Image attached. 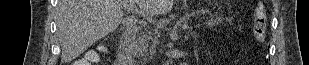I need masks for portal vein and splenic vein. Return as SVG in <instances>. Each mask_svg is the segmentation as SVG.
Listing matches in <instances>:
<instances>
[{"instance_id": "1", "label": "portal vein and splenic vein", "mask_w": 309, "mask_h": 65, "mask_svg": "<svg viewBox=\"0 0 309 65\" xmlns=\"http://www.w3.org/2000/svg\"><path fill=\"white\" fill-rule=\"evenodd\" d=\"M130 8H131V10H132L134 13H136V14H138V15H141L142 17L146 18L147 21H149V22H151V23H154V22H155L151 17H149L148 15H146L142 10L138 9L137 7L131 6Z\"/></svg>"}]
</instances>
